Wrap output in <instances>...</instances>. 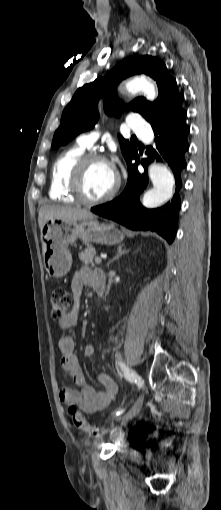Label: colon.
I'll return each mask as SVG.
<instances>
[{
  "label": "colon",
  "mask_w": 221,
  "mask_h": 510,
  "mask_svg": "<svg viewBox=\"0 0 221 510\" xmlns=\"http://www.w3.org/2000/svg\"><path fill=\"white\" fill-rule=\"evenodd\" d=\"M75 305L74 296L65 288L58 287L51 294V317L54 320H61L65 315L72 311ZM69 413L73 425L89 435H96L98 430L90 425L83 413L78 411L75 405L69 407Z\"/></svg>",
  "instance_id": "obj_1"
}]
</instances>
